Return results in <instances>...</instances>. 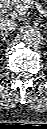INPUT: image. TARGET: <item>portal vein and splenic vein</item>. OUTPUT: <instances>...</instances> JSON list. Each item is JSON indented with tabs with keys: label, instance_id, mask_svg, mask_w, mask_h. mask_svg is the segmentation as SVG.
<instances>
[{
	"label": "portal vein and splenic vein",
	"instance_id": "obj_1",
	"mask_svg": "<svg viewBox=\"0 0 47 129\" xmlns=\"http://www.w3.org/2000/svg\"><path fill=\"white\" fill-rule=\"evenodd\" d=\"M33 2H34L33 0H25L23 2V5L16 6V8L13 10V12L10 14V16L11 17H20V16L24 15L30 8V5L33 4ZM35 5L38 10H41L42 12H44V14H46V11L38 3H35Z\"/></svg>",
	"mask_w": 47,
	"mask_h": 129
}]
</instances>
